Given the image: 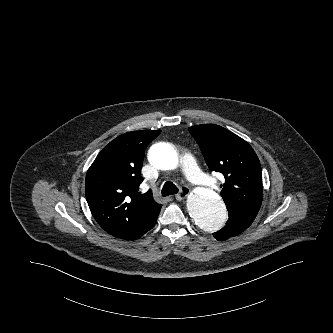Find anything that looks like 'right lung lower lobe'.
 Wrapping results in <instances>:
<instances>
[{"instance_id":"98d812e1","label":"right lung lower lobe","mask_w":333,"mask_h":333,"mask_svg":"<svg viewBox=\"0 0 333 333\" xmlns=\"http://www.w3.org/2000/svg\"><path fill=\"white\" fill-rule=\"evenodd\" d=\"M160 210L155 211L150 218H148L141 226V230L138 235H136L135 239H138L142 235H144L148 230H150L156 223L157 217L159 215ZM133 239V240H135Z\"/></svg>"}]
</instances>
